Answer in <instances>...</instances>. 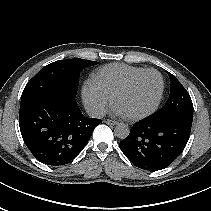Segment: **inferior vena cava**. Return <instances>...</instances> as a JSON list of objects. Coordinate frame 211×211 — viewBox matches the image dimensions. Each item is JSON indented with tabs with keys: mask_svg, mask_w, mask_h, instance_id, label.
<instances>
[{
	"mask_svg": "<svg viewBox=\"0 0 211 211\" xmlns=\"http://www.w3.org/2000/svg\"><path fill=\"white\" fill-rule=\"evenodd\" d=\"M86 112L92 118H103L106 115L105 108L102 106H90Z\"/></svg>",
	"mask_w": 211,
	"mask_h": 211,
	"instance_id": "inferior-vena-cava-1",
	"label": "inferior vena cava"
}]
</instances>
